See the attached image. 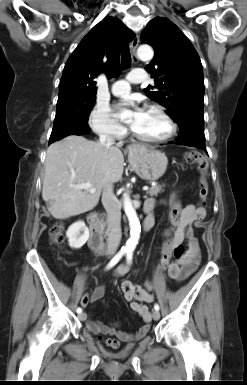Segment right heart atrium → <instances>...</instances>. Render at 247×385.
<instances>
[{"instance_id": "obj_1", "label": "right heart atrium", "mask_w": 247, "mask_h": 385, "mask_svg": "<svg viewBox=\"0 0 247 385\" xmlns=\"http://www.w3.org/2000/svg\"><path fill=\"white\" fill-rule=\"evenodd\" d=\"M89 125L96 134L112 139L121 138L126 133V129L113 118L108 107L100 103L92 108Z\"/></svg>"}]
</instances>
